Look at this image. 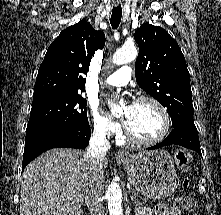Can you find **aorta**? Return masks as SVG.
<instances>
[{
    "label": "aorta",
    "instance_id": "762f6f07",
    "mask_svg": "<svg viewBox=\"0 0 221 215\" xmlns=\"http://www.w3.org/2000/svg\"><path fill=\"white\" fill-rule=\"evenodd\" d=\"M137 49L134 46H123L115 52L112 61L116 65L127 64L134 61L137 57ZM112 114L118 112L119 108L116 104L110 105ZM106 196L108 200V209L110 215H123L122 209V192L120 186L111 182L106 191Z\"/></svg>",
    "mask_w": 221,
    "mask_h": 215
}]
</instances>
